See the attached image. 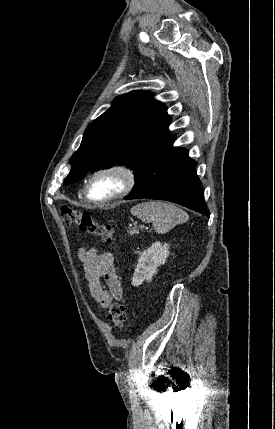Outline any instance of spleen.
<instances>
[{"instance_id": "1", "label": "spleen", "mask_w": 275, "mask_h": 429, "mask_svg": "<svg viewBox=\"0 0 275 429\" xmlns=\"http://www.w3.org/2000/svg\"><path fill=\"white\" fill-rule=\"evenodd\" d=\"M131 214L143 222L152 223L159 234H165L189 219L187 213L174 204L160 201L138 204L132 207Z\"/></svg>"}]
</instances>
